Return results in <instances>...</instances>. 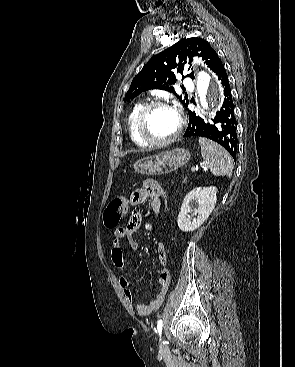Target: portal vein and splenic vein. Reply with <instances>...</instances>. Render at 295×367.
I'll return each instance as SVG.
<instances>
[{
    "instance_id": "portal-vein-and-splenic-vein-1",
    "label": "portal vein and splenic vein",
    "mask_w": 295,
    "mask_h": 367,
    "mask_svg": "<svg viewBox=\"0 0 295 367\" xmlns=\"http://www.w3.org/2000/svg\"><path fill=\"white\" fill-rule=\"evenodd\" d=\"M192 172H196L198 169L197 168H195V167H192Z\"/></svg>"
}]
</instances>
